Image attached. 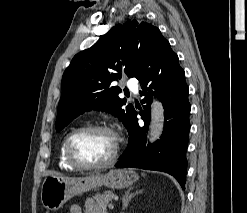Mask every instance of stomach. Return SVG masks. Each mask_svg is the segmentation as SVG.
I'll use <instances>...</instances> for the list:
<instances>
[{
    "label": "stomach",
    "instance_id": "obj_1",
    "mask_svg": "<svg viewBox=\"0 0 247 213\" xmlns=\"http://www.w3.org/2000/svg\"><path fill=\"white\" fill-rule=\"evenodd\" d=\"M138 176L132 170L112 169L105 174L79 178L47 176L41 186V202L47 210L56 211L76 195L100 187L112 189L131 186Z\"/></svg>",
    "mask_w": 247,
    "mask_h": 213
}]
</instances>
